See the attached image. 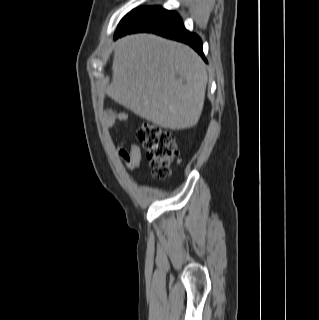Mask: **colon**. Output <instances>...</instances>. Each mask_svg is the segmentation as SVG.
I'll use <instances>...</instances> for the list:
<instances>
[{
    "label": "colon",
    "instance_id": "colon-1",
    "mask_svg": "<svg viewBox=\"0 0 319 320\" xmlns=\"http://www.w3.org/2000/svg\"><path fill=\"white\" fill-rule=\"evenodd\" d=\"M136 136L145 150L154 176L165 180L170 174L172 163L178 157L174 135L158 125L144 122L137 127Z\"/></svg>",
    "mask_w": 319,
    "mask_h": 320
}]
</instances>
